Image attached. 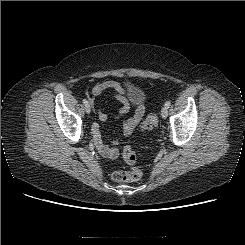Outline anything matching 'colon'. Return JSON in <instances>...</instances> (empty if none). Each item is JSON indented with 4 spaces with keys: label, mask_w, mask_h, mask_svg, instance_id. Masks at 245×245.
Segmentation results:
<instances>
[{
    "label": "colon",
    "mask_w": 245,
    "mask_h": 245,
    "mask_svg": "<svg viewBox=\"0 0 245 245\" xmlns=\"http://www.w3.org/2000/svg\"><path fill=\"white\" fill-rule=\"evenodd\" d=\"M158 124V117L154 113H149L145 120L140 124V129L142 131H150ZM124 160L128 164H134L136 161V153L131 146L127 145L123 150ZM142 177V172L140 169L133 167L129 170H119L112 174V178L119 182H131L138 181Z\"/></svg>",
    "instance_id": "5ec220e1"
}]
</instances>
